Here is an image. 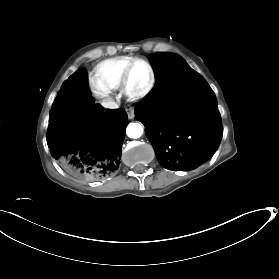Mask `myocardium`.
I'll use <instances>...</instances> for the list:
<instances>
[{"mask_svg": "<svg viewBox=\"0 0 279 279\" xmlns=\"http://www.w3.org/2000/svg\"><path fill=\"white\" fill-rule=\"evenodd\" d=\"M136 62L144 63L149 71H150V82L148 86L142 90L141 92H133L129 86V75L132 68V65ZM156 72L153 65L143 57H132L127 64L125 65L122 73V80H121V91L122 93L129 99V100H142L146 98L155 88L156 85Z\"/></svg>", "mask_w": 279, "mask_h": 279, "instance_id": "1", "label": "myocardium"}]
</instances>
